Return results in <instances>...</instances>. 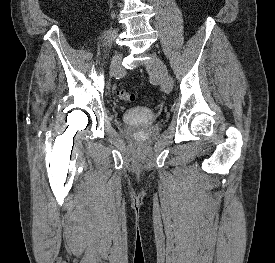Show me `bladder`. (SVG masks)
I'll list each match as a JSON object with an SVG mask.
<instances>
[{"label":"bladder","instance_id":"obj_1","mask_svg":"<svg viewBox=\"0 0 275 263\" xmlns=\"http://www.w3.org/2000/svg\"><path fill=\"white\" fill-rule=\"evenodd\" d=\"M122 120L131 126H148L156 120V114L143 106L131 107L122 114Z\"/></svg>","mask_w":275,"mask_h":263}]
</instances>
